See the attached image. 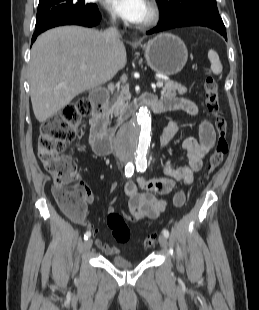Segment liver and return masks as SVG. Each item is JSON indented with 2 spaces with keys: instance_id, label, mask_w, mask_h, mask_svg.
Here are the masks:
<instances>
[{
  "instance_id": "liver-1",
  "label": "liver",
  "mask_w": 259,
  "mask_h": 310,
  "mask_svg": "<svg viewBox=\"0 0 259 310\" xmlns=\"http://www.w3.org/2000/svg\"><path fill=\"white\" fill-rule=\"evenodd\" d=\"M126 62L124 44L107 45L103 32L94 29L63 26L41 34L29 66L36 119L45 122L80 93L111 80Z\"/></svg>"
}]
</instances>
